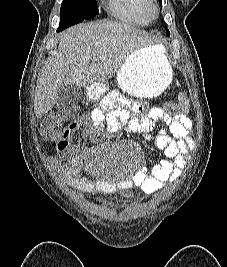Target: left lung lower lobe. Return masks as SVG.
<instances>
[{
  "instance_id": "1",
  "label": "left lung lower lobe",
  "mask_w": 227,
  "mask_h": 267,
  "mask_svg": "<svg viewBox=\"0 0 227 267\" xmlns=\"http://www.w3.org/2000/svg\"><path fill=\"white\" fill-rule=\"evenodd\" d=\"M167 35L169 36V30H167Z\"/></svg>"
}]
</instances>
